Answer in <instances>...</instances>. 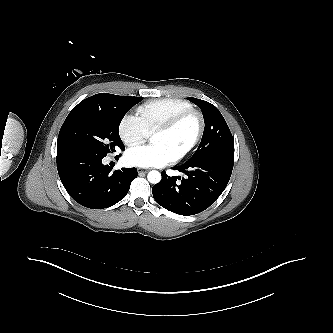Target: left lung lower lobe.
I'll list each match as a JSON object with an SVG mask.
<instances>
[{"mask_svg": "<svg viewBox=\"0 0 333 333\" xmlns=\"http://www.w3.org/2000/svg\"><path fill=\"white\" fill-rule=\"evenodd\" d=\"M233 164L232 157L214 156L174 167V170L185 173L186 179L170 177L162 171L161 181L152 188L153 197L159 205L176 214L189 216L200 213L224 191Z\"/></svg>", "mask_w": 333, "mask_h": 333, "instance_id": "left-lung-lower-lobe-1", "label": "left lung lower lobe"}]
</instances>
